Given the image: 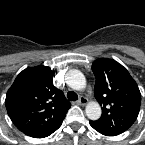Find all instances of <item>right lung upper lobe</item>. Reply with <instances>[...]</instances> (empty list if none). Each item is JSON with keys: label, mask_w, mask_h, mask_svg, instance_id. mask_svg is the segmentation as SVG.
Segmentation results:
<instances>
[{"label": "right lung upper lobe", "mask_w": 145, "mask_h": 145, "mask_svg": "<svg viewBox=\"0 0 145 145\" xmlns=\"http://www.w3.org/2000/svg\"><path fill=\"white\" fill-rule=\"evenodd\" d=\"M54 71L47 66L23 70L6 94V108L14 125L25 135L39 137L60 124L70 103L53 85Z\"/></svg>", "instance_id": "1"}]
</instances>
